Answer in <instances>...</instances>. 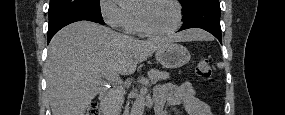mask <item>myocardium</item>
Masks as SVG:
<instances>
[{
	"label": "myocardium",
	"instance_id": "obj_1",
	"mask_svg": "<svg viewBox=\"0 0 285 115\" xmlns=\"http://www.w3.org/2000/svg\"><path fill=\"white\" fill-rule=\"evenodd\" d=\"M154 1H167L174 6L175 13H176V25L174 28H172L168 31H163V32L152 31L144 25L140 14L137 13V21H138V25H139L140 30L143 32V34L148 35V36H152V37H164V36H170V35L176 33L179 30V28L181 27L182 20H183L182 7H181V4L179 3V1H177V0H145L143 2H154Z\"/></svg>",
	"mask_w": 285,
	"mask_h": 115
}]
</instances>
